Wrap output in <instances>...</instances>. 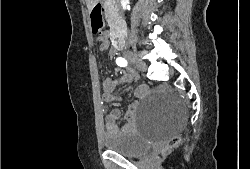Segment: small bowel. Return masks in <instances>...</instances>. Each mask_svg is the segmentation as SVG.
Here are the masks:
<instances>
[{"label":"small bowel","mask_w":250,"mask_h":169,"mask_svg":"<svg viewBox=\"0 0 250 169\" xmlns=\"http://www.w3.org/2000/svg\"><path fill=\"white\" fill-rule=\"evenodd\" d=\"M97 41L100 44L101 49L107 50L109 48V40L108 37L104 34H100L97 37ZM138 80L136 74L132 72H127L121 75L118 78L109 77L106 78L103 82L104 87V100L108 103L117 102L120 100V97L116 95L115 90L118 85L121 84H129ZM148 88L146 85L139 86L135 90L136 101L131 105L129 110L126 113L127 123L123 125L121 128L117 126V120L120 117V111L118 109H114L110 114L106 117V132L108 134H113L115 132L122 133H131L136 129L135 124V111L139 105V101L147 94Z\"/></svg>","instance_id":"small-bowel-1"}]
</instances>
